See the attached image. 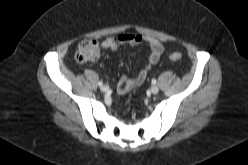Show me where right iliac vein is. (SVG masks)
<instances>
[{
    "label": "right iliac vein",
    "mask_w": 248,
    "mask_h": 165,
    "mask_svg": "<svg viewBox=\"0 0 248 165\" xmlns=\"http://www.w3.org/2000/svg\"><path fill=\"white\" fill-rule=\"evenodd\" d=\"M100 90L105 93L109 90V87L106 85H103V86H101Z\"/></svg>",
    "instance_id": "obj_1"
}]
</instances>
